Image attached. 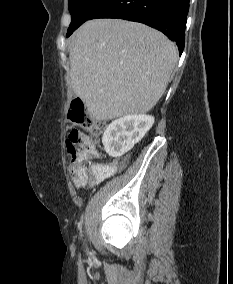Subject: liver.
<instances>
[{
  "label": "liver",
  "instance_id": "1",
  "mask_svg": "<svg viewBox=\"0 0 233 284\" xmlns=\"http://www.w3.org/2000/svg\"><path fill=\"white\" fill-rule=\"evenodd\" d=\"M69 59L74 93L101 121L151 110L166 90L178 50L142 23L96 19L75 32Z\"/></svg>",
  "mask_w": 233,
  "mask_h": 284
}]
</instances>
